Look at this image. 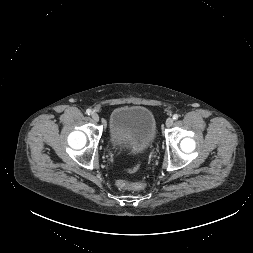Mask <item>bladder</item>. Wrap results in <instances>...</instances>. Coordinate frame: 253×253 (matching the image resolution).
Segmentation results:
<instances>
[{"instance_id":"31cf9c89","label":"bladder","mask_w":253,"mask_h":253,"mask_svg":"<svg viewBox=\"0 0 253 253\" xmlns=\"http://www.w3.org/2000/svg\"><path fill=\"white\" fill-rule=\"evenodd\" d=\"M156 136V120L147 107L122 105L111 112L109 140L113 148L122 147L131 155H140L153 148Z\"/></svg>"}]
</instances>
